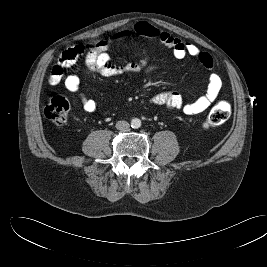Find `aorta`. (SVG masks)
<instances>
[{"mask_svg": "<svg viewBox=\"0 0 267 267\" xmlns=\"http://www.w3.org/2000/svg\"><path fill=\"white\" fill-rule=\"evenodd\" d=\"M131 127L134 129H138L141 127V120L138 118H133L131 120Z\"/></svg>", "mask_w": 267, "mask_h": 267, "instance_id": "762f6f07", "label": "aorta"}]
</instances>
